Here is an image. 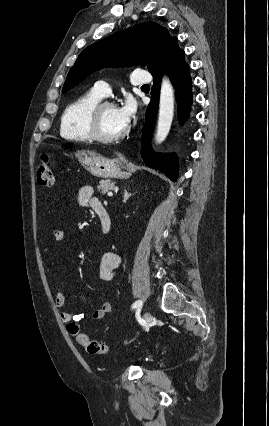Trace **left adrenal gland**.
Instances as JSON below:
<instances>
[{"label": "left adrenal gland", "instance_id": "a2214340", "mask_svg": "<svg viewBox=\"0 0 269 426\" xmlns=\"http://www.w3.org/2000/svg\"><path fill=\"white\" fill-rule=\"evenodd\" d=\"M130 196H132V194H129L127 190H125L123 195V198H124L123 202L126 203Z\"/></svg>", "mask_w": 269, "mask_h": 426}]
</instances>
